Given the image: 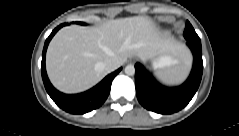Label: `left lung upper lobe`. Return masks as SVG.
<instances>
[{
	"mask_svg": "<svg viewBox=\"0 0 239 136\" xmlns=\"http://www.w3.org/2000/svg\"><path fill=\"white\" fill-rule=\"evenodd\" d=\"M183 36L187 41H195L200 43V38L198 37L194 28L188 21L186 22V27H185Z\"/></svg>",
	"mask_w": 239,
	"mask_h": 136,
	"instance_id": "1",
	"label": "left lung upper lobe"
}]
</instances>
